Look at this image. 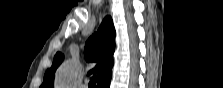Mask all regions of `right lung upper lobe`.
I'll return each mask as SVG.
<instances>
[{
  "instance_id": "obj_1",
  "label": "right lung upper lobe",
  "mask_w": 223,
  "mask_h": 88,
  "mask_svg": "<svg viewBox=\"0 0 223 88\" xmlns=\"http://www.w3.org/2000/svg\"><path fill=\"white\" fill-rule=\"evenodd\" d=\"M115 49V28L110 16L104 18L100 30L92 35L85 45V59L88 62L96 61L97 66L89 73L98 74V84L109 80L112 76L113 53ZM63 54L58 52L50 69L44 75L41 88H53L54 73L63 61Z\"/></svg>"
}]
</instances>
